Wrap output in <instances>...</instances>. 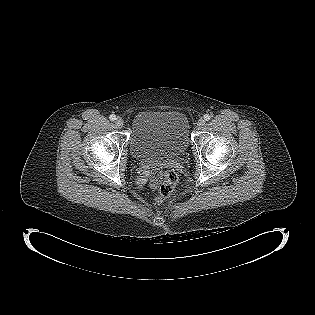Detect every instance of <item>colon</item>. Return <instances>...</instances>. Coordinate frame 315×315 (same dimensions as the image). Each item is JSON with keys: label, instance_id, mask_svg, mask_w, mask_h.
Masks as SVG:
<instances>
[{"label": "colon", "instance_id": "colon-1", "mask_svg": "<svg viewBox=\"0 0 315 315\" xmlns=\"http://www.w3.org/2000/svg\"><path fill=\"white\" fill-rule=\"evenodd\" d=\"M157 174L162 177L161 183L158 186L157 200L158 202H162L171 197L174 193L177 184V175L171 170L165 171L164 173L158 171Z\"/></svg>", "mask_w": 315, "mask_h": 315}]
</instances>
